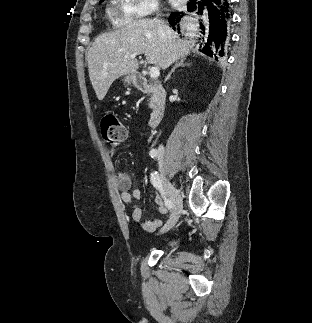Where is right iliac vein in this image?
<instances>
[{"label":"right iliac vein","instance_id":"63e3f726","mask_svg":"<svg viewBox=\"0 0 312 323\" xmlns=\"http://www.w3.org/2000/svg\"><path fill=\"white\" fill-rule=\"evenodd\" d=\"M162 172L165 173L164 168H162ZM165 175V187L167 190V194L170 197L171 201L173 202V211L171 213L170 219L168 220L167 224L162 228V231H168L172 228L179 220L180 215L182 213L183 204L182 198L178 190L171 184L168 178Z\"/></svg>","mask_w":312,"mask_h":323}]
</instances>
